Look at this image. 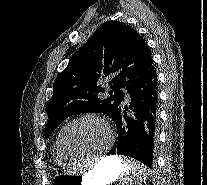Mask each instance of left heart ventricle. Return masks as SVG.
Here are the masks:
<instances>
[{
	"instance_id": "left-heart-ventricle-1",
	"label": "left heart ventricle",
	"mask_w": 207,
	"mask_h": 185,
	"mask_svg": "<svg viewBox=\"0 0 207 185\" xmlns=\"http://www.w3.org/2000/svg\"><path fill=\"white\" fill-rule=\"evenodd\" d=\"M111 139L107 127L97 120H84L73 126L68 135V146L76 154L102 151Z\"/></svg>"
}]
</instances>
